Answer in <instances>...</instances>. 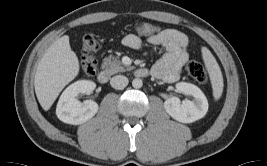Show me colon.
I'll return each mask as SVG.
<instances>
[{"label": "colon", "instance_id": "1", "mask_svg": "<svg viewBox=\"0 0 267 166\" xmlns=\"http://www.w3.org/2000/svg\"><path fill=\"white\" fill-rule=\"evenodd\" d=\"M136 30L141 35H153L158 31V27L149 23H142L136 26ZM100 47L99 40L92 34H87L82 39V71L86 75H93L97 69V61L94 54ZM187 71L199 83H206L208 75L204 67L197 61H189L187 63Z\"/></svg>", "mask_w": 267, "mask_h": 166}]
</instances>
